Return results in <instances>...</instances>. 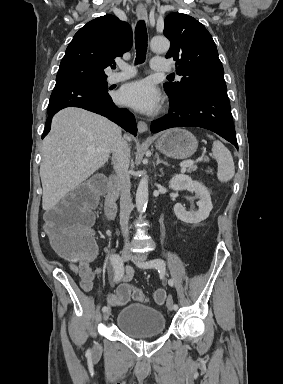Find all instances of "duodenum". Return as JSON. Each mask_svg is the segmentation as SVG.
I'll list each match as a JSON object with an SVG mask.
<instances>
[{"instance_id":"1","label":"duodenum","mask_w":283,"mask_h":384,"mask_svg":"<svg viewBox=\"0 0 283 384\" xmlns=\"http://www.w3.org/2000/svg\"><path fill=\"white\" fill-rule=\"evenodd\" d=\"M120 179L116 175H111L108 183V192L106 196L105 210L109 220H114L117 213V200Z\"/></svg>"}]
</instances>
